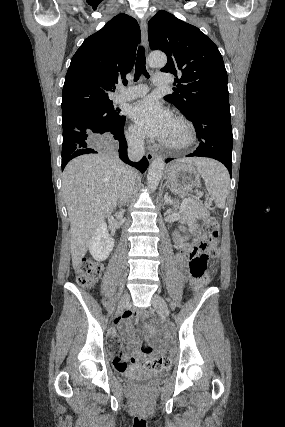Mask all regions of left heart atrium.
Listing matches in <instances>:
<instances>
[{
    "instance_id": "39dd6f15",
    "label": "left heart atrium",
    "mask_w": 285,
    "mask_h": 427,
    "mask_svg": "<svg viewBox=\"0 0 285 427\" xmlns=\"http://www.w3.org/2000/svg\"><path fill=\"white\" fill-rule=\"evenodd\" d=\"M130 116L144 133L163 141H166L174 121L171 113L153 97L135 103Z\"/></svg>"
}]
</instances>
